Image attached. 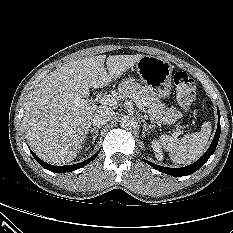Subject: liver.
<instances>
[{
  "label": "liver",
  "instance_id": "obj_1",
  "mask_svg": "<svg viewBox=\"0 0 233 233\" xmlns=\"http://www.w3.org/2000/svg\"><path fill=\"white\" fill-rule=\"evenodd\" d=\"M143 56H109L108 72L106 55L79 59L44 78L29 94L23 117L28 143L36 155L54 165L71 162L85 142L96 111L109 107L90 102L89 89L105 87Z\"/></svg>",
  "mask_w": 233,
  "mask_h": 233
}]
</instances>
